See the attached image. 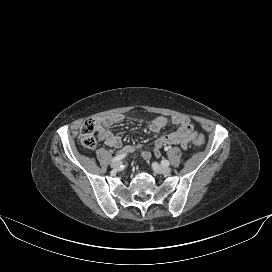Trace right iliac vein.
Wrapping results in <instances>:
<instances>
[{"mask_svg": "<svg viewBox=\"0 0 272 272\" xmlns=\"http://www.w3.org/2000/svg\"><path fill=\"white\" fill-rule=\"evenodd\" d=\"M120 165H121V161H116L111 163V167L114 169L118 168Z\"/></svg>", "mask_w": 272, "mask_h": 272, "instance_id": "right-iliac-vein-1", "label": "right iliac vein"}]
</instances>
